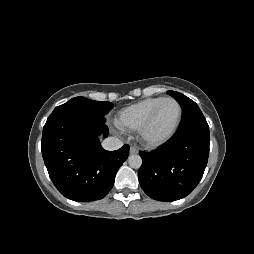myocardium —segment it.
I'll use <instances>...</instances> for the list:
<instances>
[{
  "label": "myocardium",
  "instance_id": "1",
  "mask_svg": "<svg viewBox=\"0 0 254 254\" xmlns=\"http://www.w3.org/2000/svg\"><path fill=\"white\" fill-rule=\"evenodd\" d=\"M166 102H174L178 106L177 120H176L174 126L172 127V129L165 136H163L159 139H152L148 136V130H149L150 126L152 125L161 106ZM182 112H183L182 106L179 103V101H177L174 98H164L160 103H158L156 105V107L151 111V113L148 115V117L145 119V121L140 126L138 133H139V136H140L142 142L149 147H159V146L165 144L166 142H168L175 135V133L180 125L181 118H182Z\"/></svg>",
  "mask_w": 254,
  "mask_h": 254
}]
</instances>
